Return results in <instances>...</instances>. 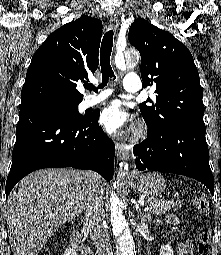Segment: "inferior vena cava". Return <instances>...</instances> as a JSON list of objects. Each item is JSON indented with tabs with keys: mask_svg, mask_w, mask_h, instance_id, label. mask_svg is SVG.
Returning <instances> with one entry per match:
<instances>
[{
	"mask_svg": "<svg viewBox=\"0 0 221 255\" xmlns=\"http://www.w3.org/2000/svg\"><path fill=\"white\" fill-rule=\"evenodd\" d=\"M95 179L85 202L84 225L90 230L91 239L97 255H113L110 236L104 226L103 194L100 188V176L92 172Z\"/></svg>",
	"mask_w": 221,
	"mask_h": 255,
	"instance_id": "602c4592",
	"label": "inferior vena cava"
}]
</instances>
